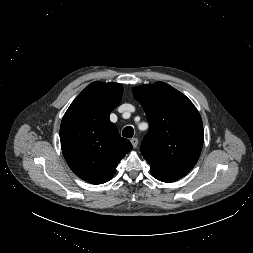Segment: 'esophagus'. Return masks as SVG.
<instances>
[{
  "instance_id": "1",
  "label": "esophagus",
  "mask_w": 253,
  "mask_h": 253,
  "mask_svg": "<svg viewBox=\"0 0 253 253\" xmlns=\"http://www.w3.org/2000/svg\"><path fill=\"white\" fill-rule=\"evenodd\" d=\"M130 141H131V143H132V146H133L134 148H136L137 145H138V139H137V138H132Z\"/></svg>"
}]
</instances>
